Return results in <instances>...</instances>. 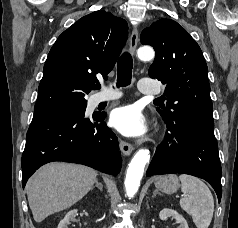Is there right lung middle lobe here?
Wrapping results in <instances>:
<instances>
[{
  "mask_svg": "<svg viewBox=\"0 0 238 228\" xmlns=\"http://www.w3.org/2000/svg\"><path fill=\"white\" fill-rule=\"evenodd\" d=\"M86 106H87V101L81 102V103L70 104L58 111L66 110V109H74V110H77L80 112H85Z\"/></svg>",
  "mask_w": 238,
  "mask_h": 228,
  "instance_id": "1",
  "label": "right lung middle lobe"
}]
</instances>
